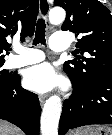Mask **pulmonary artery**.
I'll use <instances>...</instances> for the list:
<instances>
[{
	"label": "pulmonary artery",
	"instance_id": "pulmonary-artery-1",
	"mask_svg": "<svg viewBox=\"0 0 112 135\" xmlns=\"http://www.w3.org/2000/svg\"><path fill=\"white\" fill-rule=\"evenodd\" d=\"M49 47L53 51H64L69 47L68 37L65 34L54 33L49 41ZM18 53L10 60L11 67H21L40 62L44 59L42 51L30 49L24 46H16Z\"/></svg>",
	"mask_w": 112,
	"mask_h": 135
}]
</instances>
